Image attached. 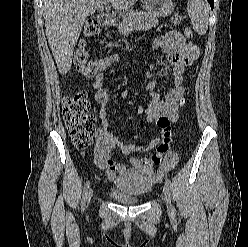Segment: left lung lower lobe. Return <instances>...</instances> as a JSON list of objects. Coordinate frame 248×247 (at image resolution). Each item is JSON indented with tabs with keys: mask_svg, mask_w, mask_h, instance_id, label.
<instances>
[{
	"mask_svg": "<svg viewBox=\"0 0 248 247\" xmlns=\"http://www.w3.org/2000/svg\"><path fill=\"white\" fill-rule=\"evenodd\" d=\"M210 6H211V9H213V6H214V0H208Z\"/></svg>",
	"mask_w": 248,
	"mask_h": 247,
	"instance_id": "obj_1",
	"label": "left lung lower lobe"
}]
</instances>
